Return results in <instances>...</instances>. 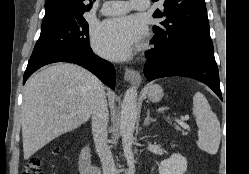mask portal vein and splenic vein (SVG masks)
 I'll use <instances>...</instances> for the list:
<instances>
[{
  "instance_id": "18ae733b",
  "label": "portal vein and splenic vein",
  "mask_w": 249,
  "mask_h": 174,
  "mask_svg": "<svg viewBox=\"0 0 249 174\" xmlns=\"http://www.w3.org/2000/svg\"><path fill=\"white\" fill-rule=\"evenodd\" d=\"M189 117L186 115L185 117H182L181 119H175V121L182 126L184 129L189 130V126L185 123L186 120H188Z\"/></svg>"
}]
</instances>
